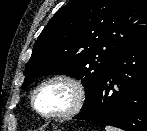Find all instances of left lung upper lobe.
<instances>
[{
    "label": "left lung upper lobe",
    "mask_w": 147,
    "mask_h": 131,
    "mask_svg": "<svg viewBox=\"0 0 147 131\" xmlns=\"http://www.w3.org/2000/svg\"><path fill=\"white\" fill-rule=\"evenodd\" d=\"M147 36V0H71L34 44L22 88L43 75L81 79L89 104L109 67Z\"/></svg>",
    "instance_id": "5c2ea615"
}]
</instances>
